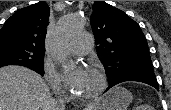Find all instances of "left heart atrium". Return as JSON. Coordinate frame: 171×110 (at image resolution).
<instances>
[{"label": "left heart atrium", "mask_w": 171, "mask_h": 110, "mask_svg": "<svg viewBox=\"0 0 171 110\" xmlns=\"http://www.w3.org/2000/svg\"><path fill=\"white\" fill-rule=\"evenodd\" d=\"M86 74L87 70L84 67H69L65 70V81L71 89L75 90L83 81Z\"/></svg>", "instance_id": "obj_1"}]
</instances>
